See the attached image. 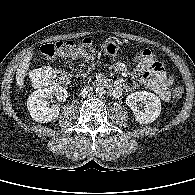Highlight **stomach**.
I'll return each mask as SVG.
<instances>
[{
    "label": "stomach",
    "instance_id": "1",
    "mask_svg": "<svg viewBox=\"0 0 195 195\" xmlns=\"http://www.w3.org/2000/svg\"><path fill=\"white\" fill-rule=\"evenodd\" d=\"M103 50L106 55L114 57L118 53L119 45L115 41L110 40L103 45Z\"/></svg>",
    "mask_w": 195,
    "mask_h": 195
}]
</instances>
